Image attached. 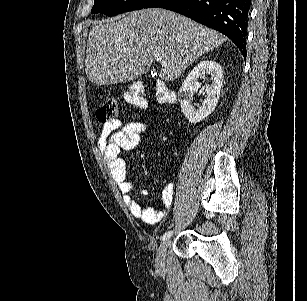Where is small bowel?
Returning a JSON list of instances; mask_svg holds the SVG:
<instances>
[{
    "mask_svg": "<svg viewBox=\"0 0 307 301\" xmlns=\"http://www.w3.org/2000/svg\"><path fill=\"white\" fill-rule=\"evenodd\" d=\"M147 129L143 122L132 121L122 124L114 120L103 125L98 138V145L104 154L110 174L116 182L124 203L131 214L148 224H155L160 221L163 211L138 203L132 196V183L127 178L125 161L119 156L122 150L134 149L140 141L141 134ZM175 191L174 183L167 184L162 191V203L168 208L173 201ZM141 194H146L145 190Z\"/></svg>",
    "mask_w": 307,
    "mask_h": 301,
    "instance_id": "obj_1",
    "label": "small bowel"
}]
</instances>
